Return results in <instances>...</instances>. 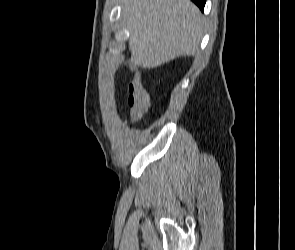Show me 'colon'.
<instances>
[{
    "instance_id": "colon-1",
    "label": "colon",
    "mask_w": 295,
    "mask_h": 250,
    "mask_svg": "<svg viewBox=\"0 0 295 250\" xmlns=\"http://www.w3.org/2000/svg\"><path fill=\"white\" fill-rule=\"evenodd\" d=\"M127 103L133 121L139 120L147 112L149 96L140 78H135L128 84Z\"/></svg>"
}]
</instances>
